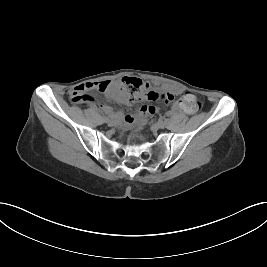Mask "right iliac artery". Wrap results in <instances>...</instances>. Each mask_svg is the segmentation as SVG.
Here are the masks:
<instances>
[{"label": "right iliac artery", "mask_w": 267, "mask_h": 267, "mask_svg": "<svg viewBox=\"0 0 267 267\" xmlns=\"http://www.w3.org/2000/svg\"><path fill=\"white\" fill-rule=\"evenodd\" d=\"M100 116H101L102 118H107L106 115H105L103 112H100Z\"/></svg>", "instance_id": "1"}]
</instances>
